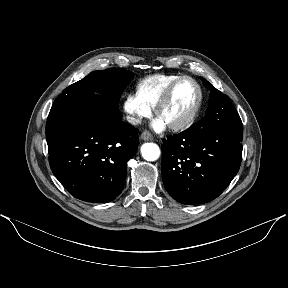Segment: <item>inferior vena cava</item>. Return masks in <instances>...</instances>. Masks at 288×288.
<instances>
[{"label":"inferior vena cava","mask_w":288,"mask_h":288,"mask_svg":"<svg viewBox=\"0 0 288 288\" xmlns=\"http://www.w3.org/2000/svg\"><path fill=\"white\" fill-rule=\"evenodd\" d=\"M127 121L133 125L135 124H140L141 123V119L139 118H135V117H131V116H128L127 117Z\"/></svg>","instance_id":"602c4592"}]
</instances>
